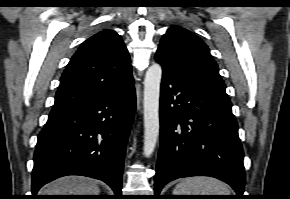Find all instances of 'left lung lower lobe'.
Listing matches in <instances>:
<instances>
[{
    "instance_id": "0a47b994",
    "label": "left lung lower lobe",
    "mask_w": 290,
    "mask_h": 199,
    "mask_svg": "<svg viewBox=\"0 0 290 199\" xmlns=\"http://www.w3.org/2000/svg\"><path fill=\"white\" fill-rule=\"evenodd\" d=\"M163 69L160 97V150L155 193L168 182L211 176L228 183L243 198V148L226 92Z\"/></svg>"
}]
</instances>
